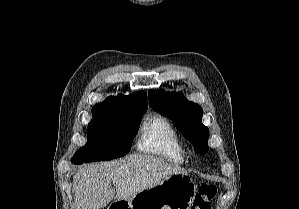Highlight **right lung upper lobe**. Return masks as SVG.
Here are the masks:
<instances>
[{
    "mask_svg": "<svg viewBox=\"0 0 299 209\" xmlns=\"http://www.w3.org/2000/svg\"><path fill=\"white\" fill-rule=\"evenodd\" d=\"M147 110V95L143 91L128 96H110L102 103L96 104L92 111L97 114H135Z\"/></svg>",
    "mask_w": 299,
    "mask_h": 209,
    "instance_id": "obj_1",
    "label": "right lung upper lobe"
}]
</instances>
